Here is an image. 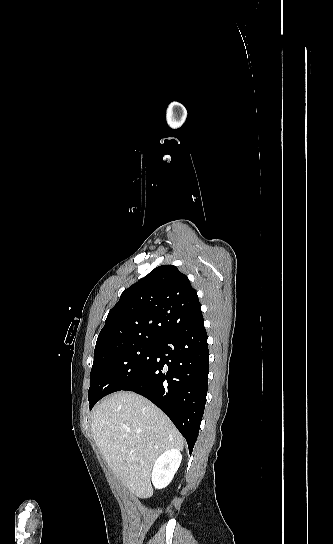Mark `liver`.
<instances>
[{"mask_svg":"<svg viewBox=\"0 0 333 544\" xmlns=\"http://www.w3.org/2000/svg\"><path fill=\"white\" fill-rule=\"evenodd\" d=\"M91 432L116 477L133 494L150 497L153 463L184 440L168 417L146 398L118 392L95 409Z\"/></svg>","mask_w":333,"mask_h":544,"instance_id":"6515ba94","label":"liver"}]
</instances>
